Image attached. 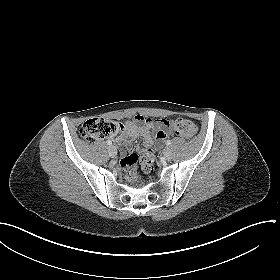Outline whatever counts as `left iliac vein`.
I'll use <instances>...</instances> for the list:
<instances>
[{"mask_svg":"<svg viewBox=\"0 0 280 280\" xmlns=\"http://www.w3.org/2000/svg\"><path fill=\"white\" fill-rule=\"evenodd\" d=\"M163 158L166 161H170L172 159V151L169 147H167L163 150Z\"/></svg>","mask_w":280,"mask_h":280,"instance_id":"4c4485c4","label":"left iliac vein"}]
</instances>
